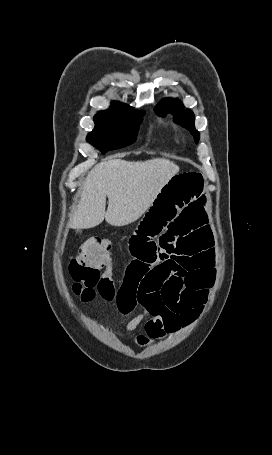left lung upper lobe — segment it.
Masks as SVG:
<instances>
[{"instance_id":"5c2ea615","label":"left lung upper lobe","mask_w":272,"mask_h":455,"mask_svg":"<svg viewBox=\"0 0 272 455\" xmlns=\"http://www.w3.org/2000/svg\"><path fill=\"white\" fill-rule=\"evenodd\" d=\"M154 111L158 115L171 113L174 116V122L189 130L194 136L195 142L198 143L199 133L194 126V114L191 110L185 109L181 101L170 98L163 99Z\"/></svg>"}]
</instances>
